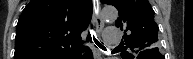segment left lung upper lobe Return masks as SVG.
<instances>
[{"label":"left lung upper lobe","mask_w":193,"mask_h":59,"mask_svg":"<svg viewBox=\"0 0 193 59\" xmlns=\"http://www.w3.org/2000/svg\"><path fill=\"white\" fill-rule=\"evenodd\" d=\"M103 4L113 5L119 12L115 26L129 33L125 36V49L133 53L154 49L158 46V26L154 22V11L148 0H101ZM158 49V48H157ZM129 59L132 54L126 53ZM124 58V57H123Z\"/></svg>","instance_id":"1"}]
</instances>
